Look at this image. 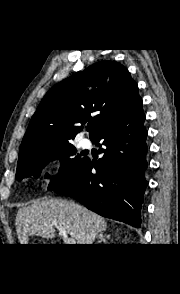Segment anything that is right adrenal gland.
<instances>
[{
  "label": "right adrenal gland",
  "mask_w": 180,
  "mask_h": 294,
  "mask_svg": "<svg viewBox=\"0 0 180 294\" xmlns=\"http://www.w3.org/2000/svg\"><path fill=\"white\" fill-rule=\"evenodd\" d=\"M98 237H99L98 244H101V242H105L106 239H108L110 237V235L103 236L102 234H99Z\"/></svg>",
  "instance_id": "obj_1"
}]
</instances>
